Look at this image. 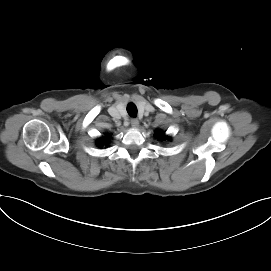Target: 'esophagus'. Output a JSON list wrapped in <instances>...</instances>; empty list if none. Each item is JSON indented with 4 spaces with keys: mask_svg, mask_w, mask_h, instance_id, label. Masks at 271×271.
<instances>
[{
    "mask_svg": "<svg viewBox=\"0 0 271 271\" xmlns=\"http://www.w3.org/2000/svg\"><path fill=\"white\" fill-rule=\"evenodd\" d=\"M131 125L133 128H137L139 126V121L136 118L131 119Z\"/></svg>",
    "mask_w": 271,
    "mask_h": 271,
    "instance_id": "esophagus-1",
    "label": "esophagus"
}]
</instances>
